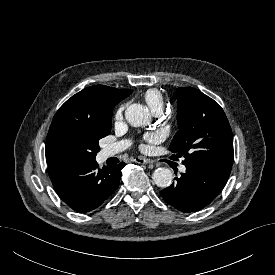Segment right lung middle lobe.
<instances>
[{"label": "right lung middle lobe", "instance_id": "right-lung-middle-lobe-1", "mask_svg": "<svg viewBox=\"0 0 275 275\" xmlns=\"http://www.w3.org/2000/svg\"><path fill=\"white\" fill-rule=\"evenodd\" d=\"M111 118L102 124H65L46 141L48 165L83 164L95 161L99 140L110 134Z\"/></svg>", "mask_w": 275, "mask_h": 275}]
</instances>
